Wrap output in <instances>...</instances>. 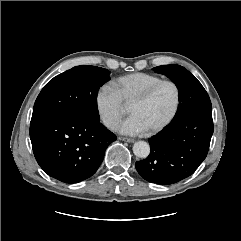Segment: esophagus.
I'll list each match as a JSON object with an SVG mask.
<instances>
[{
	"label": "esophagus",
	"mask_w": 241,
	"mask_h": 241,
	"mask_svg": "<svg viewBox=\"0 0 241 241\" xmlns=\"http://www.w3.org/2000/svg\"><path fill=\"white\" fill-rule=\"evenodd\" d=\"M119 140L126 141L128 143H133L135 140L127 137H118Z\"/></svg>",
	"instance_id": "1"
}]
</instances>
